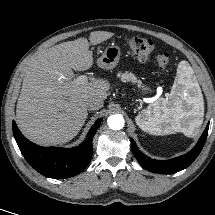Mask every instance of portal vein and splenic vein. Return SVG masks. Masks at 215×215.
<instances>
[{"label": "portal vein and splenic vein", "instance_id": "18ae733b", "mask_svg": "<svg viewBox=\"0 0 215 215\" xmlns=\"http://www.w3.org/2000/svg\"><path fill=\"white\" fill-rule=\"evenodd\" d=\"M87 81H88V78H87V76L86 75H80V76H78L76 79H75V82L77 83V84H85V83H87ZM156 98H154V100H155Z\"/></svg>", "mask_w": 215, "mask_h": 215}]
</instances>
